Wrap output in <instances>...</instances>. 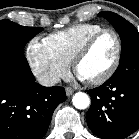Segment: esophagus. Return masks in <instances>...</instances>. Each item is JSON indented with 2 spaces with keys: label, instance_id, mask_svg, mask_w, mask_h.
<instances>
[{
  "label": "esophagus",
  "instance_id": "esophagus-1",
  "mask_svg": "<svg viewBox=\"0 0 139 139\" xmlns=\"http://www.w3.org/2000/svg\"><path fill=\"white\" fill-rule=\"evenodd\" d=\"M65 91L67 96H71L74 92V90L71 87H66Z\"/></svg>",
  "mask_w": 139,
  "mask_h": 139
}]
</instances>
